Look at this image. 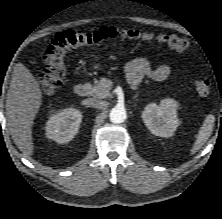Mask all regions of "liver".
<instances>
[{
  "label": "liver",
  "mask_w": 222,
  "mask_h": 219,
  "mask_svg": "<svg viewBox=\"0 0 222 219\" xmlns=\"http://www.w3.org/2000/svg\"><path fill=\"white\" fill-rule=\"evenodd\" d=\"M42 103L39 82L22 63L13 69L6 98V117L12 139L27 159L33 154L32 125Z\"/></svg>",
  "instance_id": "obj_1"
}]
</instances>
